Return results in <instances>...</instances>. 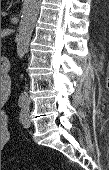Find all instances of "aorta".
<instances>
[{"mask_svg": "<svg viewBox=\"0 0 109 170\" xmlns=\"http://www.w3.org/2000/svg\"><path fill=\"white\" fill-rule=\"evenodd\" d=\"M41 0H25L22 17L17 35V56L22 59L28 51L31 36L35 27V23L39 14ZM19 101L29 103V96L26 92H22Z\"/></svg>", "mask_w": 109, "mask_h": 170, "instance_id": "1", "label": "aorta"}]
</instances>
